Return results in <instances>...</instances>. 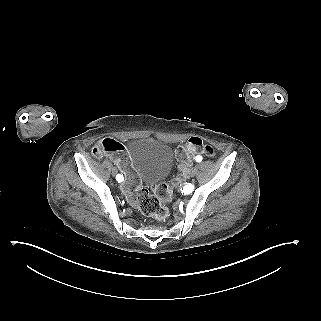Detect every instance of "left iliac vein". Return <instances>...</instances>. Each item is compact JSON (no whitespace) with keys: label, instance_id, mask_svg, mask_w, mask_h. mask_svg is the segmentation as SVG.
I'll list each match as a JSON object with an SVG mask.
<instances>
[{"label":"left iliac vein","instance_id":"4c4485c4","mask_svg":"<svg viewBox=\"0 0 321 321\" xmlns=\"http://www.w3.org/2000/svg\"><path fill=\"white\" fill-rule=\"evenodd\" d=\"M196 172H197V169L195 167H192V168L189 169V175L191 177H194Z\"/></svg>","mask_w":321,"mask_h":321}]
</instances>
